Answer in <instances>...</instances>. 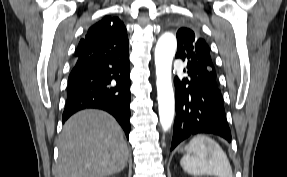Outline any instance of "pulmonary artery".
Returning a JSON list of instances; mask_svg holds the SVG:
<instances>
[{
	"label": "pulmonary artery",
	"instance_id": "1",
	"mask_svg": "<svg viewBox=\"0 0 287 177\" xmlns=\"http://www.w3.org/2000/svg\"><path fill=\"white\" fill-rule=\"evenodd\" d=\"M175 64H176V65H180V64H181V60H180V59H177V60L175 61Z\"/></svg>",
	"mask_w": 287,
	"mask_h": 177
}]
</instances>
